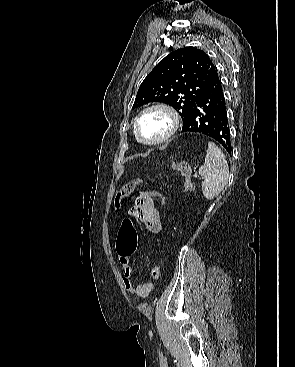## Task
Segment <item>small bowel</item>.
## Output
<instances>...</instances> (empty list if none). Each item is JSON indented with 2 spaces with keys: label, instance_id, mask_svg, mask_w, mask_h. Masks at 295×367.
I'll use <instances>...</instances> for the list:
<instances>
[{
  "label": "small bowel",
  "instance_id": "small-bowel-1",
  "mask_svg": "<svg viewBox=\"0 0 295 367\" xmlns=\"http://www.w3.org/2000/svg\"><path fill=\"white\" fill-rule=\"evenodd\" d=\"M159 193L155 192L152 196H139L136 199L135 205L130 212L131 216L136 217L143 226L152 234L157 235L161 230L160 212L157 208V198ZM116 250L119 258L120 265L123 269V284L124 287L131 292L133 297L144 300L148 298L155 290L157 283L144 282L140 284H134L132 276L131 255L135 248L130 251H122L119 244V237L116 245ZM151 277L158 280L161 276V268L154 266L151 269Z\"/></svg>",
  "mask_w": 295,
  "mask_h": 367
}]
</instances>
